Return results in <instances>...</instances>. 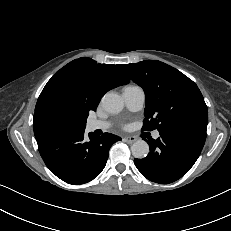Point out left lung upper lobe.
<instances>
[{"label":"left lung upper lobe","instance_id":"5c2ea615","mask_svg":"<svg viewBox=\"0 0 231 231\" xmlns=\"http://www.w3.org/2000/svg\"><path fill=\"white\" fill-rule=\"evenodd\" d=\"M119 66L145 92L143 130L163 131L183 125L207 128L204 98L197 85L179 70L157 60Z\"/></svg>","mask_w":231,"mask_h":231}]
</instances>
